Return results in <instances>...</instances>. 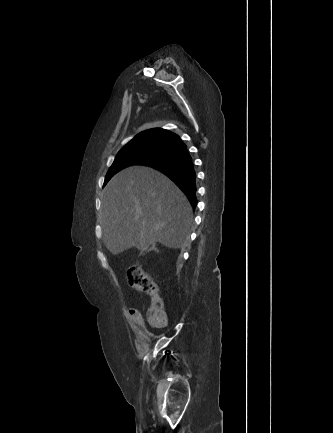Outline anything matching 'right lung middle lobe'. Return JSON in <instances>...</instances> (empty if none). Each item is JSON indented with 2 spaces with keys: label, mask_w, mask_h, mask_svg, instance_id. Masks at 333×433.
Here are the masks:
<instances>
[{
  "label": "right lung middle lobe",
  "mask_w": 333,
  "mask_h": 433,
  "mask_svg": "<svg viewBox=\"0 0 333 433\" xmlns=\"http://www.w3.org/2000/svg\"><path fill=\"white\" fill-rule=\"evenodd\" d=\"M170 148L155 142L124 146L117 154L104 181V185L121 169L131 165H143L167 156Z\"/></svg>",
  "instance_id": "1"
}]
</instances>
